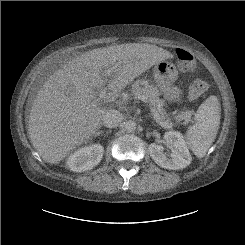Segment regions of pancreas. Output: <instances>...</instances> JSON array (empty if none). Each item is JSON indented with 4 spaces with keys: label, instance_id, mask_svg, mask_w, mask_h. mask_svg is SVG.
<instances>
[{
    "label": "pancreas",
    "instance_id": "1",
    "mask_svg": "<svg viewBox=\"0 0 245 245\" xmlns=\"http://www.w3.org/2000/svg\"><path fill=\"white\" fill-rule=\"evenodd\" d=\"M131 93L133 95H144L147 97L149 102L153 105V107L158 111L159 114L164 115V101L160 99V92L158 88L154 85H152L150 82L144 79L136 80L132 84ZM192 112L186 111V112H180L178 115H176L174 118L177 122H180L181 120H184V123L187 124L191 119ZM170 119L167 118V122L170 123Z\"/></svg>",
    "mask_w": 245,
    "mask_h": 245
}]
</instances>
